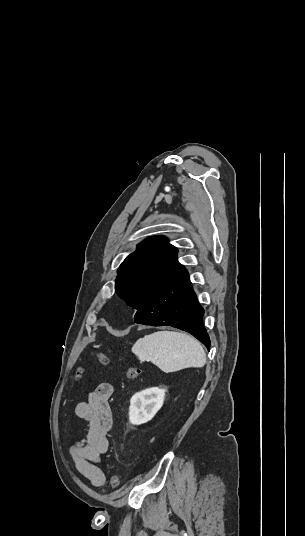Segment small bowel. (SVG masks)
I'll list each match as a JSON object with an SVG mask.
<instances>
[{
  "label": "small bowel",
  "mask_w": 305,
  "mask_h": 536,
  "mask_svg": "<svg viewBox=\"0 0 305 536\" xmlns=\"http://www.w3.org/2000/svg\"><path fill=\"white\" fill-rule=\"evenodd\" d=\"M113 392L110 383L102 382L89 394L86 402H79L75 408L77 417L88 424V431L84 438L71 444L70 453L77 470L96 487L105 483V475L98 463L109 447L112 423L109 400Z\"/></svg>",
  "instance_id": "c3829d8e"
}]
</instances>
